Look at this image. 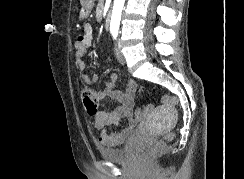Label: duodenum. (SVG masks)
<instances>
[{
    "label": "duodenum",
    "instance_id": "1",
    "mask_svg": "<svg viewBox=\"0 0 244 179\" xmlns=\"http://www.w3.org/2000/svg\"><path fill=\"white\" fill-rule=\"evenodd\" d=\"M110 20H111V17H110V13L107 12L105 14V17H104V26L107 28L110 24Z\"/></svg>",
    "mask_w": 244,
    "mask_h": 179
}]
</instances>
